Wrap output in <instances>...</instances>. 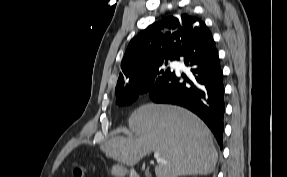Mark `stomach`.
I'll return each instance as SVG.
<instances>
[{"instance_id": "stomach-1", "label": "stomach", "mask_w": 287, "mask_h": 177, "mask_svg": "<svg viewBox=\"0 0 287 177\" xmlns=\"http://www.w3.org/2000/svg\"><path fill=\"white\" fill-rule=\"evenodd\" d=\"M111 173L115 177H125V175L128 173V170L123 165L117 164L112 167ZM130 173L133 174L134 172L131 171Z\"/></svg>"}]
</instances>
